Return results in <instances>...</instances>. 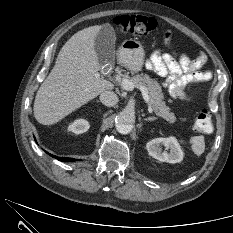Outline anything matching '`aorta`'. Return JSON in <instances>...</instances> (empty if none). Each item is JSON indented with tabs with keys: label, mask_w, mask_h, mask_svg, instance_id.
Instances as JSON below:
<instances>
[{
	"label": "aorta",
	"mask_w": 233,
	"mask_h": 233,
	"mask_svg": "<svg viewBox=\"0 0 233 233\" xmlns=\"http://www.w3.org/2000/svg\"><path fill=\"white\" fill-rule=\"evenodd\" d=\"M135 121L134 113L130 110H123L116 116V129L121 134H128L132 131Z\"/></svg>",
	"instance_id": "obj_1"
}]
</instances>
